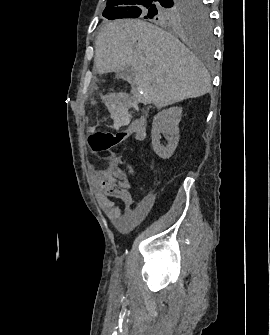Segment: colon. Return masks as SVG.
Wrapping results in <instances>:
<instances>
[{
	"label": "colon",
	"mask_w": 270,
	"mask_h": 335,
	"mask_svg": "<svg viewBox=\"0 0 270 335\" xmlns=\"http://www.w3.org/2000/svg\"><path fill=\"white\" fill-rule=\"evenodd\" d=\"M131 135L132 130L130 129H124L114 133L98 130L90 135L89 145L93 153L103 154L122 146Z\"/></svg>",
	"instance_id": "colon-1"
}]
</instances>
